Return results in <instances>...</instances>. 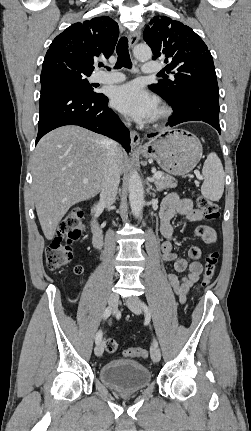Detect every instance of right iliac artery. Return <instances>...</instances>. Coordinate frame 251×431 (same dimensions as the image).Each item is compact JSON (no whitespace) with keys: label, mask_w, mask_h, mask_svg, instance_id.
Here are the masks:
<instances>
[{"label":"right iliac artery","mask_w":251,"mask_h":431,"mask_svg":"<svg viewBox=\"0 0 251 431\" xmlns=\"http://www.w3.org/2000/svg\"><path fill=\"white\" fill-rule=\"evenodd\" d=\"M111 311H112V309L110 307L106 308V310L104 311V314H103L104 320H106L111 315ZM101 339H102V331L99 330L96 334L95 342L99 343L101 341Z\"/></svg>","instance_id":"82829eb1"}]
</instances>
